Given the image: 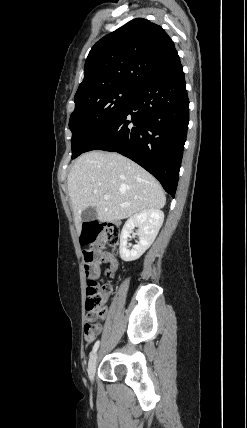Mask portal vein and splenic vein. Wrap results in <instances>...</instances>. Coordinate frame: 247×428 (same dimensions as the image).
Wrapping results in <instances>:
<instances>
[{"label": "portal vein and splenic vein", "instance_id": "18ae733b", "mask_svg": "<svg viewBox=\"0 0 247 428\" xmlns=\"http://www.w3.org/2000/svg\"><path fill=\"white\" fill-rule=\"evenodd\" d=\"M110 198V196L109 195H104V199L105 200H108ZM121 206H125L124 204H121Z\"/></svg>", "mask_w": 247, "mask_h": 428}]
</instances>
